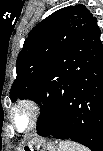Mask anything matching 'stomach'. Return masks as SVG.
<instances>
[{
    "label": "stomach",
    "mask_w": 103,
    "mask_h": 151,
    "mask_svg": "<svg viewBox=\"0 0 103 151\" xmlns=\"http://www.w3.org/2000/svg\"><path fill=\"white\" fill-rule=\"evenodd\" d=\"M30 151H58V147L54 142L47 141L45 139L32 140L27 147Z\"/></svg>",
    "instance_id": "1"
}]
</instances>
